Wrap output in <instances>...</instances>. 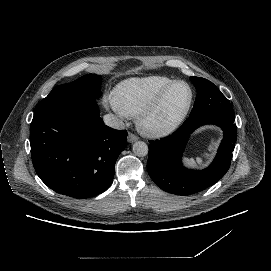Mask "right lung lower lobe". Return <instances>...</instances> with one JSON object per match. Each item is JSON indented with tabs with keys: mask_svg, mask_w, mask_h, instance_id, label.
Here are the masks:
<instances>
[{
	"mask_svg": "<svg viewBox=\"0 0 271 271\" xmlns=\"http://www.w3.org/2000/svg\"><path fill=\"white\" fill-rule=\"evenodd\" d=\"M126 144V130L104 125L98 106L90 104L44 109L30 125L37 175L55 192L78 199L108 189Z\"/></svg>",
	"mask_w": 271,
	"mask_h": 271,
	"instance_id": "1",
	"label": "right lung lower lobe"
}]
</instances>
